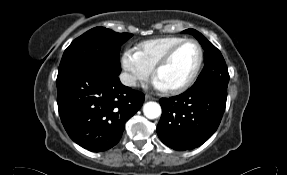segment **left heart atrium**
Here are the masks:
<instances>
[{"label": "left heart atrium", "instance_id": "obj_1", "mask_svg": "<svg viewBox=\"0 0 287 175\" xmlns=\"http://www.w3.org/2000/svg\"><path fill=\"white\" fill-rule=\"evenodd\" d=\"M155 85L159 89H165V86L163 85V83L159 79H156Z\"/></svg>", "mask_w": 287, "mask_h": 175}]
</instances>
